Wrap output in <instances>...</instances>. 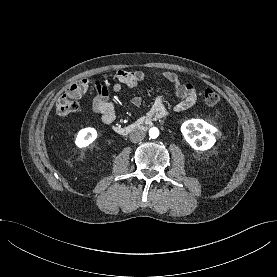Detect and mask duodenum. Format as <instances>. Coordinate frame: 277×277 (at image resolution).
I'll return each instance as SVG.
<instances>
[{"label":"duodenum","mask_w":277,"mask_h":277,"mask_svg":"<svg viewBox=\"0 0 277 277\" xmlns=\"http://www.w3.org/2000/svg\"><path fill=\"white\" fill-rule=\"evenodd\" d=\"M152 124L153 119L150 117H145L126 126H114V130L121 135H127L136 131H146L152 126Z\"/></svg>","instance_id":"duodenum-1"}]
</instances>
